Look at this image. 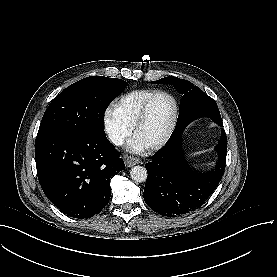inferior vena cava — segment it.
Returning <instances> with one entry per match:
<instances>
[{"instance_id": "obj_1", "label": "inferior vena cava", "mask_w": 277, "mask_h": 277, "mask_svg": "<svg viewBox=\"0 0 277 277\" xmlns=\"http://www.w3.org/2000/svg\"><path fill=\"white\" fill-rule=\"evenodd\" d=\"M109 139L113 144L118 145V146L122 145L123 141H124L123 136L115 131L109 132Z\"/></svg>"}]
</instances>
